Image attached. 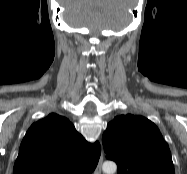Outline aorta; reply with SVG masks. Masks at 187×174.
<instances>
[{"label": "aorta", "instance_id": "1", "mask_svg": "<svg viewBox=\"0 0 187 174\" xmlns=\"http://www.w3.org/2000/svg\"><path fill=\"white\" fill-rule=\"evenodd\" d=\"M102 169L105 174H114L117 170V165L112 161H106L104 162Z\"/></svg>", "mask_w": 187, "mask_h": 174}]
</instances>
